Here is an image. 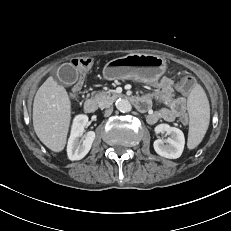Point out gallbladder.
<instances>
[{
  "instance_id": "gallbladder-1",
  "label": "gallbladder",
  "mask_w": 231,
  "mask_h": 231,
  "mask_svg": "<svg viewBox=\"0 0 231 231\" xmlns=\"http://www.w3.org/2000/svg\"><path fill=\"white\" fill-rule=\"evenodd\" d=\"M78 72L71 64L61 65L56 72L57 79L64 85L70 86L75 83Z\"/></svg>"
}]
</instances>
